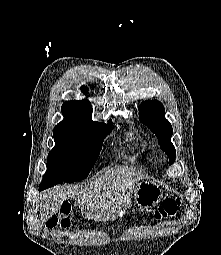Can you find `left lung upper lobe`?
Listing matches in <instances>:
<instances>
[{"label": "left lung upper lobe", "mask_w": 221, "mask_h": 255, "mask_svg": "<svg viewBox=\"0 0 221 255\" xmlns=\"http://www.w3.org/2000/svg\"><path fill=\"white\" fill-rule=\"evenodd\" d=\"M139 119L145 124L158 138L160 148L169 156V164H173L176 151L171 143L172 126L165 118V109L158 100H147L139 107Z\"/></svg>", "instance_id": "5c2ea615"}]
</instances>
